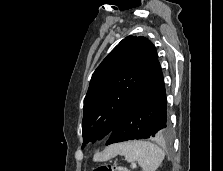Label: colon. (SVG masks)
Wrapping results in <instances>:
<instances>
[{
    "label": "colon",
    "mask_w": 223,
    "mask_h": 171,
    "mask_svg": "<svg viewBox=\"0 0 223 171\" xmlns=\"http://www.w3.org/2000/svg\"><path fill=\"white\" fill-rule=\"evenodd\" d=\"M94 171H128V169L117 165H102L97 167Z\"/></svg>",
    "instance_id": "1"
}]
</instances>
